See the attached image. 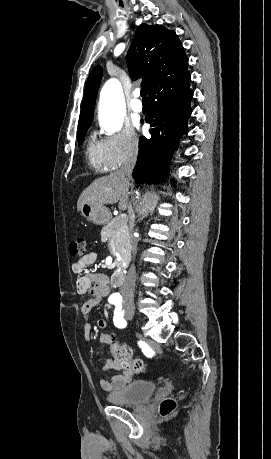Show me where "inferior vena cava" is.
Returning a JSON list of instances; mask_svg holds the SVG:
<instances>
[{"mask_svg": "<svg viewBox=\"0 0 271 459\" xmlns=\"http://www.w3.org/2000/svg\"><path fill=\"white\" fill-rule=\"evenodd\" d=\"M136 164V160H129V162H126L122 168H120V174H124V176H128V178H132V170H134V166ZM130 220L134 222L135 216L134 214H131ZM134 291H135V279L132 277V279H129V277H126L122 287H121V293L123 295V299H133L134 297Z\"/></svg>", "mask_w": 271, "mask_h": 459, "instance_id": "602c4592", "label": "inferior vena cava"}]
</instances>
